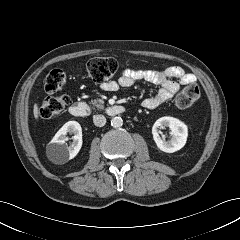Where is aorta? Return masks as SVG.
Here are the masks:
<instances>
[{"label":"aorta","instance_id":"obj_1","mask_svg":"<svg viewBox=\"0 0 240 240\" xmlns=\"http://www.w3.org/2000/svg\"><path fill=\"white\" fill-rule=\"evenodd\" d=\"M111 125L114 128H119L123 125V120L121 117H113L111 120Z\"/></svg>","mask_w":240,"mask_h":240}]
</instances>
